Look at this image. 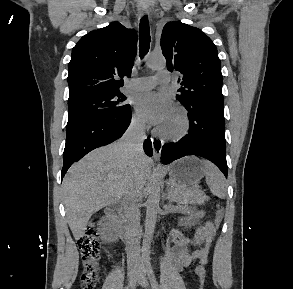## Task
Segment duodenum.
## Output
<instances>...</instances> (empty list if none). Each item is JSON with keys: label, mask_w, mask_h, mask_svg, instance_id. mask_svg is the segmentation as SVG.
<instances>
[{"label": "duodenum", "mask_w": 293, "mask_h": 289, "mask_svg": "<svg viewBox=\"0 0 293 289\" xmlns=\"http://www.w3.org/2000/svg\"><path fill=\"white\" fill-rule=\"evenodd\" d=\"M124 208L122 205H112L108 207V214L114 217L120 224V236L124 242L132 240V222L124 217Z\"/></svg>", "instance_id": "1"}]
</instances>
